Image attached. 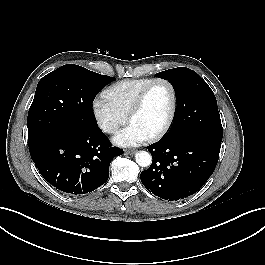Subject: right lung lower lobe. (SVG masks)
I'll return each mask as SVG.
<instances>
[{"mask_svg": "<svg viewBox=\"0 0 265 265\" xmlns=\"http://www.w3.org/2000/svg\"><path fill=\"white\" fill-rule=\"evenodd\" d=\"M31 158L40 174L55 188L85 194L104 184L111 160L122 149L111 147L96 128L68 127L28 138Z\"/></svg>", "mask_w": 265, "mask_h": 265, "instance_id": "1", "label": "right lung lower lobe"}]
</instances>
